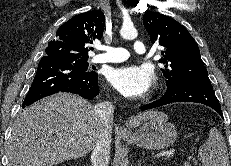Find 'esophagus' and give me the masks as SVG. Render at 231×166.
Returning <instances> with one entry per match:
<instances>
[{"mask_svg":"<svg viewBox=\"0 0 231 166\" xmlns=\"http://www.w3.org/2000/svg\"><path fill=\"white\" fill-rule=\"evenodd\" d=\"M117 131H118L119 133H121V134H126V133H128V130H127L125 127H123V126L118 127Z\"/></svg>","mask_w":231,"mask_h":166,"instance_id":"esophagus-1","label":"esophagus"}]
</instances>
